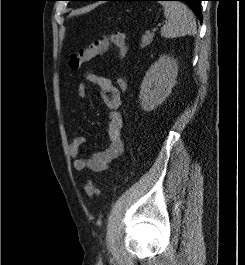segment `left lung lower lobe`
Masks as SVG:
<instances>
[{
	"instance_id": "obj_1",
	"label": "left lung lower lobe",
	"mask_w": 245,
	"mask_h": 265,
	"mask_svg": "<svg viewBox=\"0 0 245 265\" xmlns=\"http://www.w3.org/2000/svg\"><path fill=\"white\" fill-rule=\"evenodd\" d=\"M83 1H100V0H83ZM107 1H126V0H107ZM154 1H163V0H154ZM177 1H184L186 2L193 11L198 15L200 21L202 22V15H201V1L203 0H177Z\"/></svg>"
}]
</instances>
